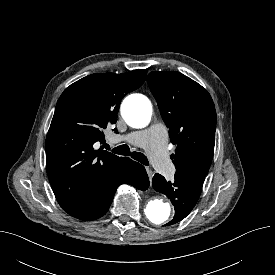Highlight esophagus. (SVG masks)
<instances>
[{"label":"esophagus","instance_id":"1","mask_svg":"<svg viewBox=\"0 0 275 275\" xmlns=\"http://www.w3.org/2000/svg\"><path fill=\"white\" fill-rule=\"evenodd\" d=\"M146 171L149 176V179L151 180L154 174L153 171L149 167H146Z\"/></svg>","mask_w":275,"mask_h":275}]
</instances>
